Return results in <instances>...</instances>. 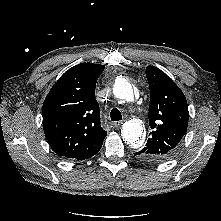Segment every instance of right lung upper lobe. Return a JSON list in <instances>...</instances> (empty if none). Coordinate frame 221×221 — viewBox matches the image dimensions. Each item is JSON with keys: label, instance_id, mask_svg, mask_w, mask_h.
I'll return each instance as SVG.
<instances>
[{"label": "right lung upper lobe", "instance_id": "1", "mask_svg": "<svg viewBox=\"0 0 221 221\" xmlns=\"http://www.w3.org/2000/svg\"><path fill=\"white\" fill-rule=\"evenodd\" d=\"M103 65L81 63L53 85L43 104V129L52 150L63 158L84 160L95 155L107 134L100 125L95 98Z\"/></svg>", "mask_w": 221, "mask_h": 221}]
</instances>
